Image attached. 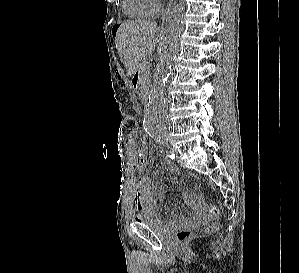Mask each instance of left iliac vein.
Here are the masks:
<instances>
[{"label": "left iliac vein", "mask_w": 299, "mask_h": 273, "mask_svg": "<svg viewBox=\"0 0 299 273\" xmlns=\"http://www.w3.org/2000/svg\"><path fill=\"white\" fill-rule=\"evenodd\" d=\"M172 152H173L174 154H176V156L178 155V151H177V149L173 148V149H172Z\"/></svg>", "instance_id": "left-iliac-vein-1"}]
</instances>
